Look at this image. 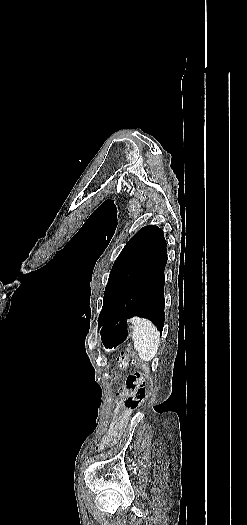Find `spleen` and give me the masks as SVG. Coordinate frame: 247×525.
<instances>
[{
  "label": "spleen",
  "mask_w": 247,
  "mask_h": 525,
  "mask_svg": "<svg viewBox=\"0 0 247 525\" xmlns=\"http://www.w3.org/2000/svg\"><path fill=\"white\" fill-rule=\"evenodd\" d=\"M132 339L135 351L141 361H151L154 359L159 347V333L148 319L133 317Z\"/></svg>",
  "instance_id": "1"
}]
</instances>
